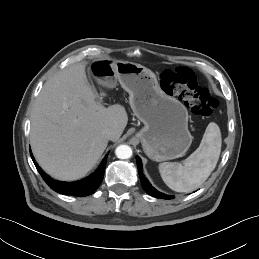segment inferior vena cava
<instances>
[{"mask_svg": "<svg viewBox=\"0 0 259 259\" xmlns=\"http://www.w3.org/2000/svg\"><path fill=\"white\" fill-rule=\"evenodd\" d=\"M103 135L108 139V140H112L115 136V131L112 129H105L103 131Z\"/></svg>", "mask_w": 259, "mask_h": 259, "instance_id": "602c4592", "label": "inferior vena cava"}]
</instances>
